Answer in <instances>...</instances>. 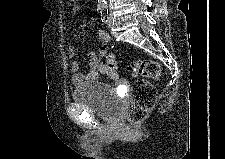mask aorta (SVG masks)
I'll list each match as a JSON object with an SVG mask.
<instances>
[{
    "label": "aorta",
    "instance_id": "aorta-1",
    "mask_svg": "<svg viewBox=\"0 0 225 159\" xmlns=\"http://www.w3.org/2000/svg\"><path fill=\"white\" fill-rule=\"evenodd\" d=\"M97 4L100 7H106L107 2H106V0H98V3Z\"/></svg>",
    "mask_w": 225,
    "mask_h": 159
}]
</instances>
